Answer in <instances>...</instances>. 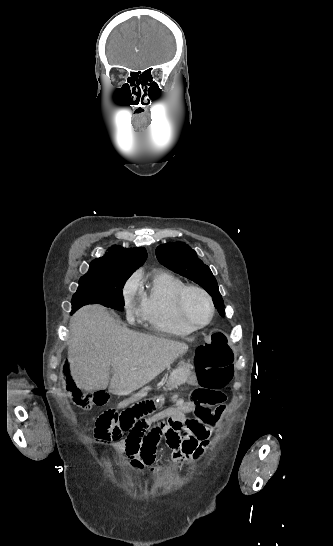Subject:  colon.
<instances>
[{"label": "colon", "mask_w": 333, "mask_h": 546, "mask_svg": "<svg viewBox=\"0 0 333 546\" xmlns=\"http://www.w3.org/2000/svg\"><path fill=\"white\" fill-rule=\"evenodd\" d=\"M197 382L202 388L192 394L194 401H207L201 393L209 390H221L225 388L234 373L233 352L227 338L222 333H215L210 340L200 345L196 350ZM67 378V388L73 402L83 408L90 409L93 405H102L107 401V395L103 392L87 393L76 388L72 377L71 362L67 361L64 367ZM162 396H139L136 400H129L123 411L109 409L102 413L95 425V438L102 444H110L119 441L128 433L129 419L152 416L162 405ZM182 405L183 401H177ZM159 437L160 431L156 430Z\"/></svg>", "instance_id": "obj_1"}]
</instances>
